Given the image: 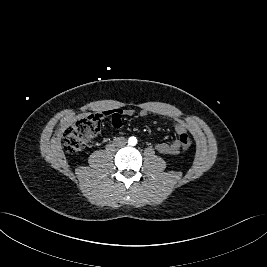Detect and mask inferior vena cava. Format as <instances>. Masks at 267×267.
Returning <instances> with one entry per match:
<instances>
[{"label":"inferior vena cava","instance_id":"obj_1","mask_svg":"<svg viewBox=\"0 0 267 267\" xmlns=\"http://www.w3.org/2000/svg\"><path fill=\"white\" fill-rule=\"evenodd\" d=\"M115 143L117 146L122 147L127 143V140L124 137H118L116 138Z\"/></svg>","mask_w":267,"mask_h":267}]
</instances>
